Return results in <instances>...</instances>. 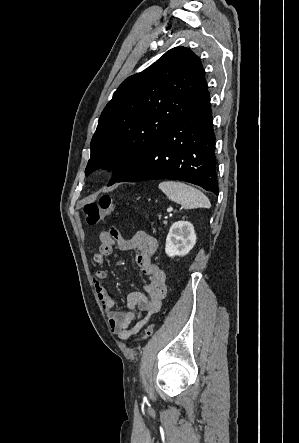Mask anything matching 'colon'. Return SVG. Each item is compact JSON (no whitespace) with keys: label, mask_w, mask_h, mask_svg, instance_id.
<instances>
[{"label":"colon","mask_w":299,"mask_h":443,"mask_svg":"<svg viewBox=\"0 0 299 443\" xmlns=\"http://www.w3.org/2000/svg\"><path fill=\"white\" fill-rule=\"evenodd\" d=\"M114 208L115 205L113 199L108 195H104L98 202H90L84 206L85 221L88 225L94 226L103 218L110 215L114 211ZM154 328V324L147 325L142 334L137 338V341L151 337Z\"/></svg>","instance_id":"1"}]
</instances>
